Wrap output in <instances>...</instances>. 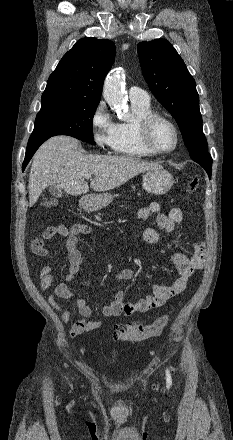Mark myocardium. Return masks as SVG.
<instances>
[{
	"label": "myocardium",
	"instance_id": "f54148a6",
	"mask_svg": "<svg viewBox=\"0 0 233 440\" xmlns=\"http://www.w3.org/2000/svg\"><path fill=\"white\" fill-rule=\"evenodd\" d=\"M167 123L173 130L175 136V142L172 148L170 149H159L152 142V132L153 128L158 122ZM137 129L141 144L143 147L154 155H162L173 152L179 145L180 134L176 124L167 116L159 114V113H150L143 118H141L137 123Z\"/></svg>",
	"mask_w": 233,
	"mask_h": 440
}]
</instances>
